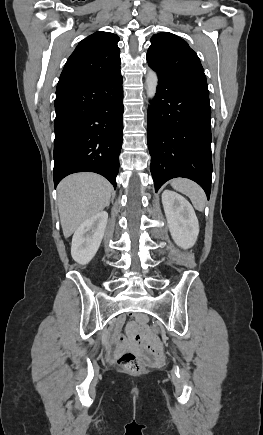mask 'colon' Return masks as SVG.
<instances>
[{"mask_svg":"<svg viewBox=\"0 0 263 435\" xmlns=\"http://www.w3.org/2000/svg\"><path fill=\"white\" fill-rule=\"evenodd\" d=\"M148 327L152 332H155L157 335H160V330H158L154 324H150ZM116 362L125 372L132 373V374L139 373L144 368V364L142 360L139 358V356H137L132 352L123 353L117 358Z\"/></svg>","mask_w":263,"mask_h":435,"instance_id":"5ec220e1","label":"colon"}]
</instances>
